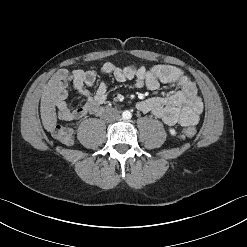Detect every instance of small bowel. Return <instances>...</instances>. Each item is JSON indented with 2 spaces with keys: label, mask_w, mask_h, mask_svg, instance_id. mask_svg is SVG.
<instances>
[{
  "label": "small bowel",
  "mask_w": 247,
  "mask_h": 247,
  "mask_svg": "<svg viewBox=\"0 0 247 247\" xmlns=\"http://www.w3.org/2000/svg\"><path fill=\"white\" fill-rule=\"evenodd\" d=\"M103 76L112 75L118 82H129L135 88L146 87L156 90L161 83L175 84L179 90L167 97H152L140 100L136 108L141 113H150L167 125L194 126L201 117L203 103L198 96L195 84L178 67L156 65L151 68L129 65L119 67L111 62L100 68ZM97 73L94 70L62 69L57 73V96L55 106L58 118L62 121H75L94 114L107 99V84L101 80L92 94L88 88L96 85ZM72 87L85 100L83 106L71 109L68 105V89Z\"/></svg>",
  "instance_id": "obj_1"
}]
</instances>
